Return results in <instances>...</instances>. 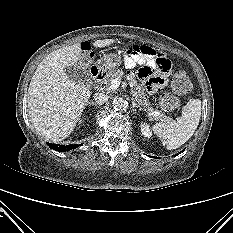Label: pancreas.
<instances>
[{
    "instance_id": "1",
    "label": "pancreas",
    "mask_w": 233,
    "mask_h": 233,
    "mask_svg": "<svg viewBox=\"0 0 233 233\" xmlns=\"http://www.w3.org/2000/svg\"><path fill=\"white\" fill-rule=\"evenodd\" d=\"M121 72L120 71H116L113 73L108 74L103 82L104 83H110L113 79L120 77ZM133 90H132V94L136 100V102L142 106L145 111H147L148 114H150L151 112H154L153 108L150 107V102L149 100L146 98V93L144 92V88L142 85H139L136 83V81H133ZM151 119L154 120H158V121H163V122H168L171 118L166 116L164 113L160 112L159 115L157 116H149Z\"/></svg>"
}]
</instances>
